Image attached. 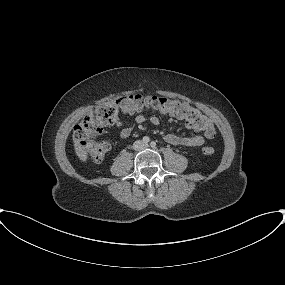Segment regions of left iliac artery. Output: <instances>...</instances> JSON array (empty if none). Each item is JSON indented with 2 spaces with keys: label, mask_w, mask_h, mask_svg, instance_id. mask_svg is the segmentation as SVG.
Masks as SVG:
<instances>
[{
  "label": "left iliac artery",
  "mask_w": 285,
  "mask_h": 285,
  "mask_svg": "<svg viewBox=\"0 0 285 285\" xmlns=\"http://www.w3.org/2000/svg\"><path fill=\"white\" fill-rule=\"evenodd\" d=\"M150 145H151L152 148H155V147H156V143L153 142V141L150 143Z\"/></svg>",
  "instance_id": "obj_1"
}]
</instances>
